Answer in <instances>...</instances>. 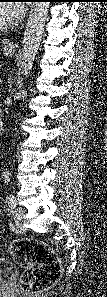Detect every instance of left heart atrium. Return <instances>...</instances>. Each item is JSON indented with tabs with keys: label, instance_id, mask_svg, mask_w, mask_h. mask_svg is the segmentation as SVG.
Here are the masks:
<instances>
[{
	"label": "left heart atrium",
	"instance_id": "left-heart-atrium-1",
	"mask_svg": "<svg viewBox=\"0 0 107 297\" xmlns=\"http://www.w3.org/2000/svg\"><path fill=\"white\" fill-rule=\"evenodd\" d=\"M25 12V7L23 4H13L10 5L8 15H9V20L11 22H15L19 20Z\"/></svg>",
	"mask_w": 107,
	"mask_h": 297
}]
</instances>
